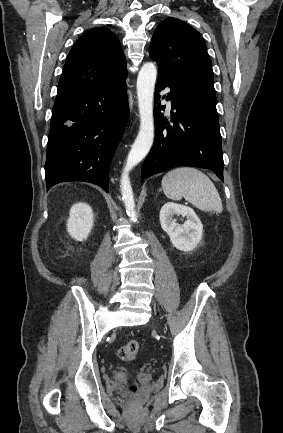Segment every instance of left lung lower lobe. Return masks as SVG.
<instances>
[{"label": "left lung lower lobe", "instance_id": "1", "mask_svg": "<svg viewBox=\"0 0 283 433\" xmlns=\"http://www.w3.org/2000/svg\"><path fill=\"white\" fill-rule=\"evenodd\" d=\"M170 88L171 118L164 117L159 92ZM187 83L161 70L155 87V142L142 166L141 180L177 166L214 171L223 181V155L218 118L202 115L188 105Z\"/></svg>", "mask_w": 283, "mask_h": 433}]
</instances>
